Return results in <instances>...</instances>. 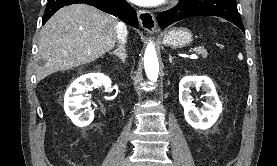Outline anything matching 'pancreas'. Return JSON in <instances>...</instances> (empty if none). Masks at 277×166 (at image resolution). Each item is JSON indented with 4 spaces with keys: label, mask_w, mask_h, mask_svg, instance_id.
<instances>
[{
    "label": "pancreas",
    "mask_w": 277,
    "mask_h": 166,
    "mask_svg": "<svg viewBox=\"0 0 277 166\" xmlns=\"http://www.w3.org/2000/svg\"><path fill=\"white\" fill-rule=\"evenodd\" d=\"M193 51L202 54L203 57H207L208 55L207 51L203 47L194 48Z\"/></svg>",
    "instance_id": "1"
}]
</instances>
